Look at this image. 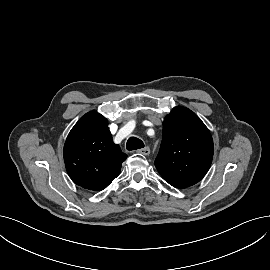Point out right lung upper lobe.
Here are the masks:
<instances>
[{
  "label": "right lung upper lobe",
  "mask_w": 270,
  "mask_h": 270,
  "mask_svg": "<svg viewBox=\"0 0 270 270\" xmlns=\"http://www.w3.org/2000/svg\"><path fill=\"white\" fill-rule=\"evenodd\" d=\"M63 156L72 181L94 191L109 185L127 158L113 143L107 119L96 111L86 113L71 129Z\"/></svg>",
  "instance_id": "obj_1"
}]
</instances>
